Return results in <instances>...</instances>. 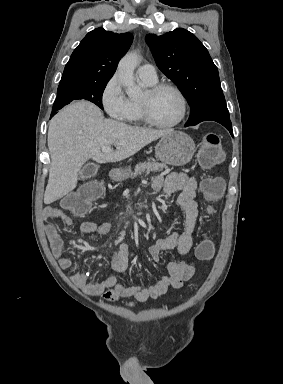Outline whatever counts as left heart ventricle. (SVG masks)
<instances>
[{
  "mask_svg": "<svg viewBox=\"0 0 283 384\" xmlns=\"http://www.w3.org/2000/svg\"><path fill=\"white\" fill-rule=\"evenodd\" d=\"M140 100L148 101L151 116L159 123H171L180 114V101L176 94L170 90H162L154 95H149L148 90H146Z\"/></svg>",
  "mask_w": 283,
  "mask_h": 384,
  "instance_id": "1",
  "label": "left heart ventricle"
}]
</instances>
